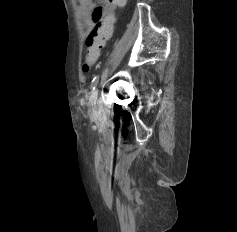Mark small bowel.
I'll use <instances>...</instances> for the list:
<instances>
[{
  "instance_id": "c3829d8e",
  "label": "small bowel",
  "mask_w": 237,
  "mask_h": 232,
  "mask_svg": "<svg viewBox=\"0 0 237 232\" xmlns=\"http://www.w3.org/2000/svg\"><path fill=\"white\" fill-rule=\"evenodd\" d=\"M114 0H79L80 16L85 25L86 34L90 33L94 26L102 22L107 14L114 8Z\"/></svg>"
}]
</instances>
